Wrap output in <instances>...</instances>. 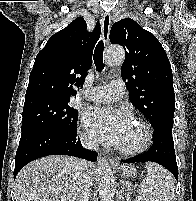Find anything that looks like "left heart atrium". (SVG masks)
Segmentation results:
<instances>
[{
  "mask_svg": "<svg viewBox=\"0 0 196 201\" xmlns=\"http://www.w3.org/2000/svg\"><path fill=\"white\" fill-rule=\"evenodd\" d=\"M83 123L96 140L119 146L133 122L126 110L92 106L84 112Z\"/></svg>",
  "mask_w": 196,
  "mask_h": 201,
  "instance_id": "1",
  "label": "left heart atrium"
}]
</instances>
